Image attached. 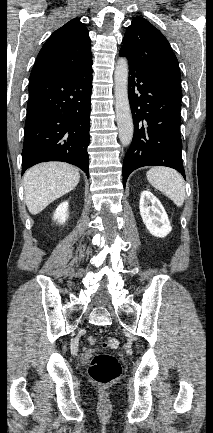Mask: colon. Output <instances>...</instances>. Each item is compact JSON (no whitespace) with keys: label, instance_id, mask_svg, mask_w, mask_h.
<instances>
[{"label":"colon","instance_id":"colon-1","mask_svg":"<svg viewBox=\"0 0 213 433\" xmlns=\"http://www.w3.org/2000/svg\"><path fill=\"white\" fill-rule=\"evenodd\" d=\"M105 349H116L118 340L114 337H108L102 342ZM122 367L118 359L107 353L95 355L88 368L90 378L100 386H108L119 378Z\"/></svg>","mask_w":213,"mask_h":433}]
</instances>
